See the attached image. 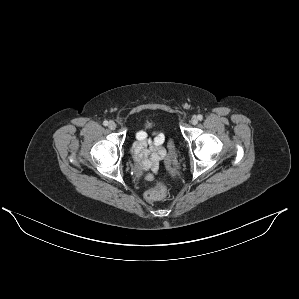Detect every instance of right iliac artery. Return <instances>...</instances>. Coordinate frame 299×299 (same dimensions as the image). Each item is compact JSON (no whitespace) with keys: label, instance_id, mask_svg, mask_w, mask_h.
I'll return each mask as SVG.
<instances>
[{"label":"right iliac artery","instance_id":"82829eb1","mask_svg":"<svg viewBox=\"0 0 299 299\" xmlns=\"http://www.w3.org/2000/svg\"><path fill=\"white\" fill-rule=\"evenodd\" d=\"M103 125H104V126H107V125H108V121L105 120V121L103 122Z\"/></svg>","mask_w":299,"mask_h":299}]
</instances>
